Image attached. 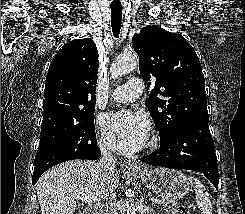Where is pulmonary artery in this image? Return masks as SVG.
I'll return each instance as SVG.
<instances>
[{"instance_id":"obj_1","label":"pulmonary artery","mask_w":245,"mask_h":214,"mask_svg":"<svg viewBox=\"0 0 245 214\" xmlns=\"http://www.w3.org/2000/svg\"><path fill=\"white\" fill-rule=\"evenodd\" d=\"M145 83L140 78H132L125 85L114 90L111 98L116 102L127 103L136 100L144 91Z\"/></svg>"}]
</instances>
